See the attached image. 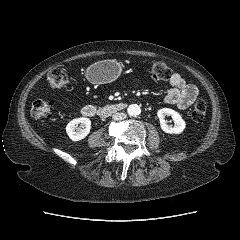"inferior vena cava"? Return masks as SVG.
Wrapping results in <instances>:
<instances>
[{
	"instance_id": "inferior-vena-cava-1",
	"label": "inferior vena cava",
	"mask_w": 240,
	"mask_h": 240,
	"mask_svg": "<svg viewBox=\"0 0 240 240\" xmlns=\"http://www.w3.org/2000/svg\"><path fill=\"white\" fill-rule=\"evenodd\" d=\"M126 117H127V115L123 112H117L112 115V118L115 121L124 120Z\"/></svg>"
}]
</instances>
